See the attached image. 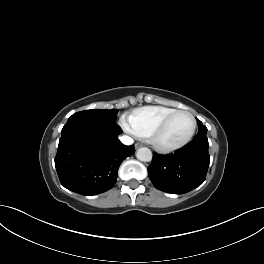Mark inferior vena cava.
I'll list each match as a JSON object with an SVG mask.
<instances>
[{
  "label": "inferior vena cava",
  "mask_w": 264,
  "mask_h": 264,
  "mask_svg": "<svg viewBox=\"0 0 264 264\" xmlns=\"http://www.w3.org/2000/svg\"><path fill=\"white\" fill-rule=\"evenodd\" d=\"M119 139L124 145H132L134 142L133 139L127 135H123L119 137Z\"/></svg>",
  "instance_id": "602c4592"
}]
</instances>
